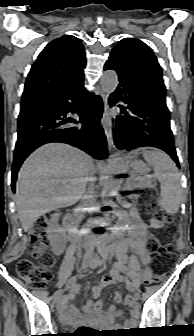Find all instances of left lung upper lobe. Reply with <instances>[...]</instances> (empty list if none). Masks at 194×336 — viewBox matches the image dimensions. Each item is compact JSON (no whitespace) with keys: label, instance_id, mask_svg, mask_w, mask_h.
Here are the masks:
<instances>
[{"label":"left lung upper lobe","instance_id":"5c2ea615","mask_svg":"<svg viewBox=\"0 0 194 336\" xmlns=\"http://www.w3.org/2000/svg\"><path fill=\"white\" fill-rule=\"evenodd\" d=\"M122 67L133 75L153 96L165 102L162 69L152 50L135 38L122 39L113 49Z\"/></svg>","mask_w":194,"mask_h":336}]
</instances>
